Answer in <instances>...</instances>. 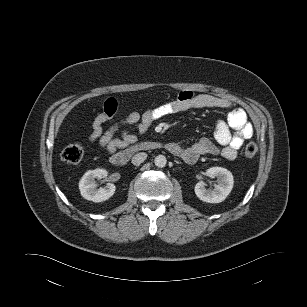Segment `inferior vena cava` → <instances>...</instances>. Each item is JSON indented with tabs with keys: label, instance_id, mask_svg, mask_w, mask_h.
Here are the masks:
<instances>
[{
	"label": "inferior vena cava",
	"instance_id": "602c4592",
	"mask_svg": "<svg viewBox=\"0 0 307 307\" xmlns=\"http://www.w3.org/2000/svg\"><path fill=\"white\" fill-rule=\"evenodd\" d=\"M147 158V154L144 152L137 153L132 158L133 165H140Z\"/></svg>",
	"mask_w": 307,
	"mask_h": 307
}]
</instances>
